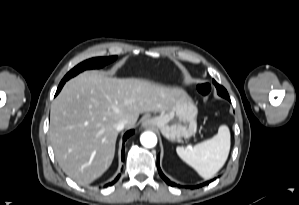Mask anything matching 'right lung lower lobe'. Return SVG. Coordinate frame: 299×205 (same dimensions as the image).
Masks as SVG:
<instances>
[{
  "instance_id": "right-lung-lower-lobe-1",
  "label": "right lung lower lobe",
  "mask_w": 299,
  "mask_h": 205,
  "mask_svg": "<svg viewBox=\"0 0 299 205\" xmlns=\"http://www.w3.org/2000/svg\"><path fill=\"white\" fill-rule=\"evenodd\" d=\"M64 84H65V83H63V82H61V83L59 84V87H58V89H57L56 95L60 92V90H61V88L63 87ZM133 133H134V130H130V131L126 132L125 135H124V137H123V143H124L125 140H126L130 135H132ZM123 153H124V146H123L122 156H123ZM119 176H120V175H118L117 178H116L112 183L107 184L106 186L114 184V183L118 180Z\"/></svg>"
}]
</instances>
